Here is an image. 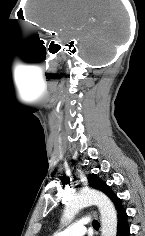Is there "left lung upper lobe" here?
Here are the masks:
<instances>
[{
  "label": "left lung upper lobe",
  "instance_id": "left-lung-upper-lobe-1",
  "mask_svg": "<svg viewBox=\"0 0 145 236\" xmlns=\"http://www.w3.org/2000/svg\"><path fill=\"white\" fill-rule=\"evenodd\" d=\"M88 181L91 187L104 192L115 204L116 209H122L121 200L112 192L110 187L94 174H90Z\"/></svg>",
  "mask_w": 145,
  "mask_h": 236
}]
</instances>
